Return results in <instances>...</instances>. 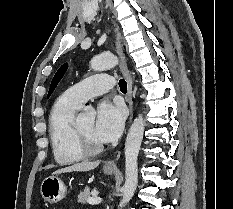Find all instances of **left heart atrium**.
<instances>
[{"mask_svg":"<svg viewBox=\"0 0 233 209\" xmlns=\"http://www.w3.org/2000/svg\"><path fill=\"white\" fill-rule=\"evenodd\" d=\"M123 123V108L109 102H102L98 106L93 136L100 143L114 141L120 135Z\"/></svg>","mask_w":233,"mask_h":209,"instance_id":"1","label":"left heart atrium"}]
</instances>
